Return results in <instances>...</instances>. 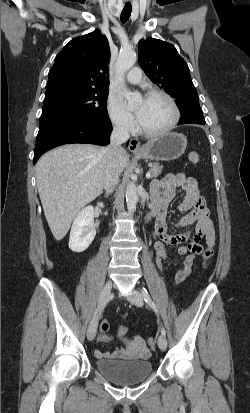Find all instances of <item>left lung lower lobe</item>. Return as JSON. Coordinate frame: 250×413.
Returning <instances> with one entry per match:
<instances>
[{"instance_id": "0a47b994", "label": "left lung lower lobe", "mask_w": 250, "mask_h": 413, "mask_svg": "<svg viewBox=\"0 0 250 413\" xmlns=\"http://www.w3.org/2000/svg\"><path fill=\"white\" fill-rule=\"evenodd\" d=\"M200 124L204 125L205 120L203 117V113H191V112H185V114H181V118L179 120L178 125L180 124Z\"/></svg>"}]
</instances>
